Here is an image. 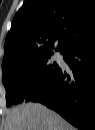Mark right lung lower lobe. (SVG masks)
I'll return each instance as SVG.
<instances>
[{"instance_id": "1", "label": "right lung lower lobe", "mask_w": 95, "mask_h": 130, "mask_svg": "<svg viewBox=\"0 0 95 130\" xmlns=\"http://www.w3.org/2000/svg\"><path fill=\"white\" fill-rule=\"evenodd\" d=\"M61 53L71 72L59 68L31 101L45 104L76 127L84 128L95 111V33Z\"/></svg>"}]
</instances>
